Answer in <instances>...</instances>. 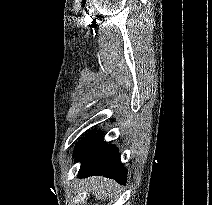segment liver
Masks as SVG:
<instances>
[{"label": "liver", "instance_id": "6515ba94", "mask_svg": "<svg viewBox=\"0 0 212 205\" xmlns=\"http://www.w3.org/2000/svg\"><path fill=\"white\" fill-rule=\"evenodd\" d=\"M88 189L95 195L96 199H110L116 195L119 188L118 184L113 180L102 177H92L86 180Z\"/></svg>", "mask_w": 212, "mask_h": 205}]
</instances>
